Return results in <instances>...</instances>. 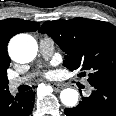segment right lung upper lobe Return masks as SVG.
Wrapping results in <instances>:
<instances>
[{
    "label": "right lung upper lobe",
    "instance_id": "cb5924a9",
    "mask_svg": "<svg viewBox=\"0 0 116 116\" xmlns=\"http://www.w3.org/2000/svg\"><path fill=\"white\" fill-rule=\"evenodd\" d=\"M39 25L38 22L26 21L18 18L0 21V76L7 75L6 70L11 62L7 53L9 40L18 33L36 31Z\"/></svg>",
    "mask_w": 116,
    "mask_h": 116
}]
</instances>
